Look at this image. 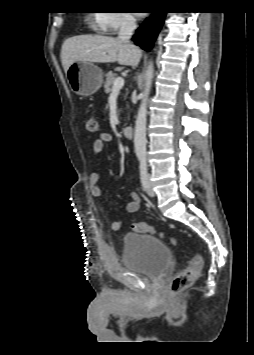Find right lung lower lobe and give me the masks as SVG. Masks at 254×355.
Listing matches in <instances>:
<instances>
[{
  "mask_svg": "<svg viewBox=\"0 0 254 355\" xmlns=\"http://www.w3.org/2000/svg\"><path fill=\"white\" fill-rule=\"evenodd\" d=\"M166 13L165 11L154 12L152 22L150 23L149 19H147L144 25L137 30L133 41L142 48L150 50L164 23Z\"/></svg>",
  "mask_w": 254,
  "mask_h": 355,
  "instance_id": "98d812e1",
  "label": "right lung lower lobe"
}]
</instances>
